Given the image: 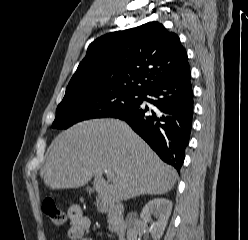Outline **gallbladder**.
<instances>
[{"label": "gallbladder", "instance_id": "1", "mask_svg": "<svg viewBox=\"0 0 248 240\" xmlns=\"http://www.w3.org/2000/svg\"><path fill=\"white\" fill-rule=\"evenodd\" d=\"M86 190L91 193L92 192V189L90 187H87Z\"/></svg>", "mask_w": 248, "mask_h": 240}]
</instances>
